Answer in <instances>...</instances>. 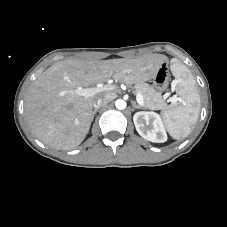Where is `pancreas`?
Listing matches in <instances>:
<instances>
[{"label":"pancreas","mask_w":227,"mask_h":227,"mask_svg":"<svg viewBox=\"0 0 227 227\" xmlns=\"http://www.w3.org/2000/svg\"><path fill=\"white\" fill-rule=\"evenodd\" d=\"M134 88L142 95L144 108L150 110H162L165 108L164 97L147 83H136Z\"/></svg>","instance_id":"pancreas-1"}]
</instances>
